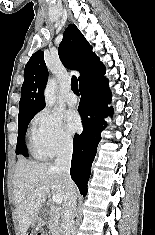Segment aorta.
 I'll use <instances>...</instances> for the list:
<instances>
[{"label": "aorta", "instance_id": "762f6f07", "mask_svg": "<svg viewBox=\"0 0 155 235\" xmlns=\"http://www.w3.org/2000/svg\"><path fill=\"white\" fill-rule=\"evenodd\" d=\"M55 88H56V81L54 79H50L47 83L44 92L45 102L46 105L49 107H53L56 101Z\"/></svg>", "mask_w": 155, "mask_h": 235}]
</instances>
